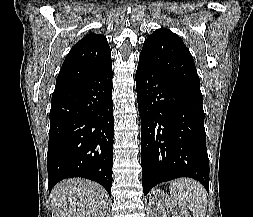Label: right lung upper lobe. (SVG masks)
Segmentation results:
<instances>
[{
    "label": "right lung upper lobe",
    "instance_id": "obj_1",
    "mask_svg": "<svg viewBox=\"0 0 253 217\" xmlns=\"http://www.w3.org/2000/svg\"><path fill=\"white\" fill-rule=\"evenodd\" d=\"M111 50L105 36L87 34L68 53L55 89L89 79L111 66Z\"/></svg>",
    "mask_w": 253,
    "mask_h": 217
}]
</instances>
